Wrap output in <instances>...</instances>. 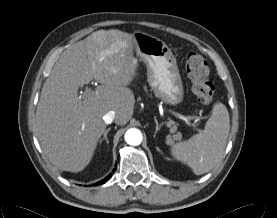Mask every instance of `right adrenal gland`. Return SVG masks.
Segmentation results:
<instances>
[{
  "instance_id": "right-adrenal-gland-1",
  "label": "right adrenal gland",
  "mask_w": 277,
  "mask_h": 218,
  "mask_svg": "<svg viewBox=\"0 0 277 218\" xmlns=\"http://www.w3.org/2000/svg\"><path fill=\"white\" fill-rule=\"evenodd\" d=\"M110 130H111L110 127L108 129H106L103 138L99 141L100 144L102 143L103 140H105L107 144L109 143L108 138H107V134Z\"/></svg>"
}]
</instances>
